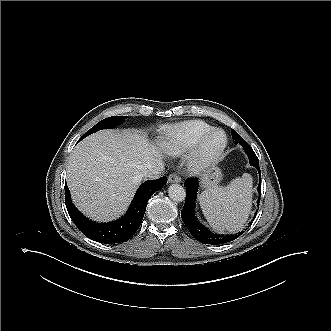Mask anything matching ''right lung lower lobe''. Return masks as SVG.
Segmentation results:
<instances>
[{
  "instance_id": "obj_1",
  "label": "right lung lower lobe",
  "mask_w": 331,
  "mask_h": 331,
  "mask_svg": "<svg viewBox=\"0 0 331 331\" xmlns=\"http://www.w3.org/2000/svg\"><path fill=\"white\" fill-rule=\"evenodd\" d=\"M166 183L165 176L144 182L138 188L127 213L122 218L109 223H96L84 217L73 206L67 184H65L66 207L74 224L88 238L106 244L125 242L138 230L149 198Z\"/></svg>"
}]
</instances>
